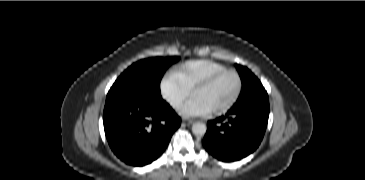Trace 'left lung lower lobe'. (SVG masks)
<instances>
[{
  "label": "left lung lower lobe",
  "instance_id": "1",
  "mask_svg": "<svg viewBox=\"0 0 365 180\" xmlns=\"http://www.w3.org/2000/svg\"><path fill=\"white\" fill-rule=\"evenodd\" d=\"M268 116L269 99L265 90L238 98L225 116L208 122L203 145L221 161L246 157L259 146Z\"/></svg>",
  "mask_w": 365,
  "mask_h": 180
}]
</instances>
